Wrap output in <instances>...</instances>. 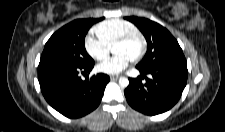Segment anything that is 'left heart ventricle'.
<instances>
[{
  "mask_svg": "<svg viewBox=\"0 0 225 132\" xmlns=\"http://www.w3.org/2000/svg\"><path fill=\"white\" fill-rule=\"evenodd\" d=\"M141 49V41L139 38H134L128 43L116 45L113 47L115 54L124 53L133 58L136 56Z\"/></svg>",
  "mask_w": 225,
  "mask_h": 132,
  "instance_id": "left-heart-ventricle-1",
  "label": "left heart ventricle"
}]
</instances>
